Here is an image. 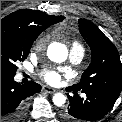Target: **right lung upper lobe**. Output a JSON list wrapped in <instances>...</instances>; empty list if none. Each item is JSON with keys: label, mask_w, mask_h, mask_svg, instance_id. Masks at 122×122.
I'll list each match as a JSON object with an SVG mask.
<instances>
[{"label": "right lung upper lobe", "mask_w": 122, "mask_h": 122, "mask_svg": "<svg viewBox=\"0 0 122 122\" xmlns=\"http://www.w3.org/2000/svg\"><path fill=\"white\" fill-rule=\"evenodd\" d=\"M64 19V16L47 15L39 10L21 9L1 20V33L36 40L47 27Z\"/></svg>", "instance_id": "right-lung-upper-lobe-1"}]
</instances>
